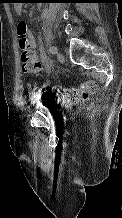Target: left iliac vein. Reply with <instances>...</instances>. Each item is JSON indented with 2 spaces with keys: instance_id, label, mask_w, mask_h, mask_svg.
Returning <instances> with one entry per match:
<instances>
[{
  "instance_id": "obj_1",
  "label": "left iliac vein",
  "mask_w": 122,
  "mask_h": 218,
  "mask_svg": "<svg viewBox=\"0 0 122 218\" xmlns=\"http://www.w3.org/2000/svg\"><path fill=\"white\" fill-rule=\"evenodd\" d=\"M57 58H58L59 62H61V63H63L65 61L63 54L60 52L57 53ZM40 96H41V93H37L33 98V102L34 103L37 102L39 100Z\"/></svg>"
}]
</instances>
